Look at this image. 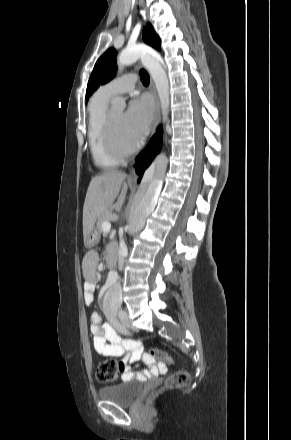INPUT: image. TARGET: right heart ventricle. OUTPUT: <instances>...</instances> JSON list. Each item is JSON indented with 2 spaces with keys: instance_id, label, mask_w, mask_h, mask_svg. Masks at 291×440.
I'll use <instances>...</instances> for the list:
<instances>
[{
  "instance_id": "right-heart-ventricle-1",
  "label": "right heart ventricle",
  "mask_w": 291,
  "mask_h": 440,
  "mask_svg": "<svg viewBox=\"0 0 291 440\" xmlns=\"http://www.w3.org/2000/svg\"><path fill=\"white\" fill-rule=\"evenodd\" d=\"M108 101L109 98L102 96L98 90L89 104V148L93 162L101 168L116 167L120 163V160L114 158L108 152L103 136V125L107 115Z\"/></svg>"
}]
</instances>
